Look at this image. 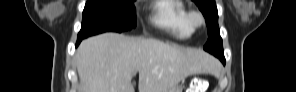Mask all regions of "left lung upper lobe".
Returning <instances> with one entry per match:
<instances>
[{
	"instance_id": "5c2ea615",
	"label": "left lung upper lobe",
	"mask_w": 296,
	"mask_h": 92,
	"mask_svg": "<svg viewBox=\"0 0 296 92\" xmlns=\"http://www.w3.org/2000/svg\"><path fill=\"white\" fill-rule=\"evenodd\" d=\"M199 7L208 27V40L204 46V50L214 54L216 57L224 58L222 39L218 27V12L215 0H193Z\"/></svg>"
}]
</instances>
